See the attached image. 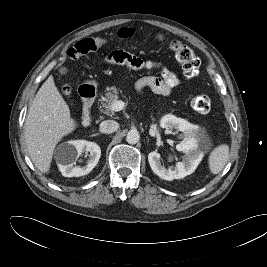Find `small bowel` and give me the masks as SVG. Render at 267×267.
Returning <instances> with one entry per match:
<instances>
[{"label":"small bowel","mask_w":267,"mask_h":267,"mask_svg":"<svg viewBox=\"0 0 267 267\" xmlns=\"http://www.w3.org/2000/svg\"><path fill=\"white\" fill-rule=\"evenodd\" d=\"M109 64L126 66L133 71L140 70H160V76H144L137 80L135 88L138 92L149 88L153 92L161 95H169L179 84L180 78L175 72L163 67V65L154 60H143L136 55L124 52L114 51L107 58Z\"/></svg>","instance_id":"small-bowel-1"}]
</instances>
